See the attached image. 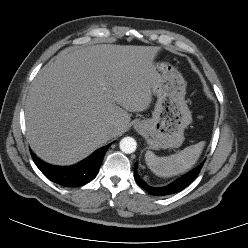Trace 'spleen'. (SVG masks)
<instances>
[{
	"label": "spleen",
	"instance_id": "obj_1",
	"mask_svg": "<svg viewBox=\"0 0 248 248\" xmlns=\"http://www.w3.org/2000/svg\"><path fill=\"white\" fill-rule=\"evenodd\" d=\"M205 142L186 147L170 156L159 157L152 151H147L145 160L152 172L160 177H171L189 170L198 160Z\"/></svg>",
	"mask_w": 248,
	"mask_h": 248
}]
</instances>
